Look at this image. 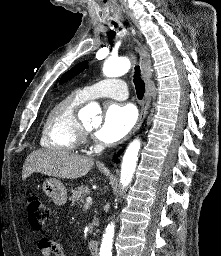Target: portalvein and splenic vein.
Segmentation results:
<instances>
[{"mask_svg": "<svg viewBox=\"0 0 221 256\" xmlns=\"http://www.w3.org/2000/svg\"><path fill=\"white\" fill-rule=\"evenodd\" d=\"M92 198L91 197H87L86 198V203H85V207H88L90 204H92Z\"/></svg>", "mask_w": 221, "mask_h": 256, "instance_id": "18ae733b", "label": "portal vein and splenic vein"}]
</instances>
